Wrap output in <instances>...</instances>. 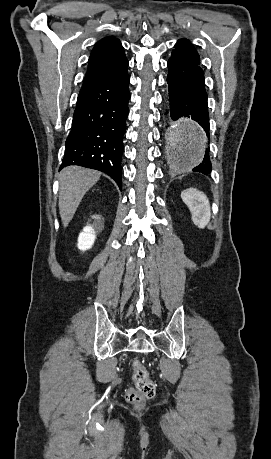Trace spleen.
I'll return each instance as SVG.
<instances>
[{
	"mask_svg": "<svg viewBox=\"0 0 271 459\" xmlns=\"http://www.w3.org/2000/svg\"><path fill=\"white\" fill-rule=\"evenodd\" d=\"M184 204L188 206L192 220L195 226H199V228H206L210 222V204L208 202L207 196L202 194V192H197L195 190V196L192 198H188V200H183Z\"/></svg>",
	"mask_w": 271,
	"mask_h": 459,
	"instance_id": "obj_1",
	"label": "spleen"
}]
</instances>
